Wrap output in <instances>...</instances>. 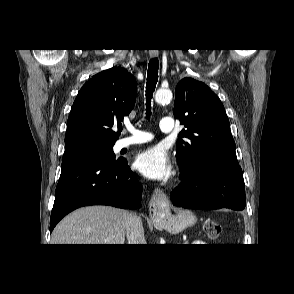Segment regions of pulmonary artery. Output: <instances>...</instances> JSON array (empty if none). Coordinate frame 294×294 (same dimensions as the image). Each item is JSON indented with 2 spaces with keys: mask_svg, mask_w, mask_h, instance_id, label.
<instances>
[{
  "mask_svg": "<svg viewBox=\"0 0 294 294\" xmlns=\"http://www.w3.org/2000/svg\"><path fill=\"white\" fill-rule=\"evenodd\" d=\"M126 128L128 131L132 133V136L124 137L120 140V146L122 147H128L131 145L141 144L148 142L152 139V135L141 131L139 129H136L133 127V125L128 124L126 125ZM160 129L163 132H171L174 129L173 119L171 117H163L160 120Z\"/></svg>",
  "mask_w": 294,
  "mask_h": 294,
  "instance_id": "obj_1",
  "label": "pulmonary artery"
}]
</instances>
